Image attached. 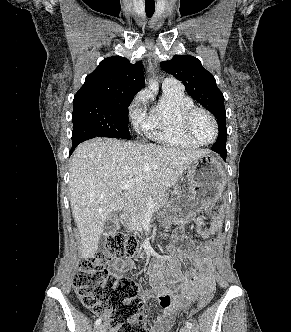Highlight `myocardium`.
<instances>
[{
  "label": "myocardium",
  "instance_id": "myocardium-1",
  "mask_svg": "<svg viewBox=\"0 0 291 332\" xmlns=\"http://www.w3.org/2000/svg\"><path fill=\"white\" fill-rule=\"evenodd\" d=\"M198 113L205 114L206 116L209 117V119L213 123L215 135L211 141H208V142L201 141L192 132V121H193V118L195 117V115ZM181 127H182L184 134L190 140H192L193 142H195L198 145H210V144L214 143L219 134L218 123H217L215 116L208 109L199 107V106H192L183 113V115L181 117Z\"/></svg>",
  "mask_w": 291,
  "mask_h": 332
}]
</instances>
